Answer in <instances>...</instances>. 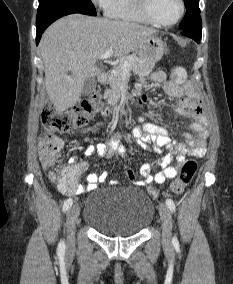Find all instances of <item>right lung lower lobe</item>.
<instances>
[{
    "label": "right lung lower lobe",
    "instance_id": "1",
    "mask_svg": "<svg viewBox=\"0 0 233 284\" xmlns=\"http://www.w3.org/2000/svg\"><path fill=\"white\" fill-rule=\"evenodd\" d=\"M57 20V19H55ZM55 20H51L49 22H46L42 25L37 26V34H36V43H39V40L41 38L42 33L44 32V30L51 24L53 23Z\"/></svg>",
    "mask_w": 233,
    "mask_h": 284
}]
</instances>
